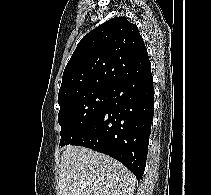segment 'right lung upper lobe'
Masks as SVG:
<instances>
[{
	"mask_svg": "<svg viewBox=\"0 0 211 195\" xmlns=\"http://www.w3.org/2000/svg\"><path fill=\"white\" fill-rule=\"evenodd\" d=\"M150 69L137 26L126 17L112 18L78 43L64 70L58 103L87 90L110 89Z\"/></svg>",
	"mask_w": 211,
	"mask_h": 195,
	"instance_id": "obj_1",
	"label": "right lung upper lobe"
}]
</instances>
